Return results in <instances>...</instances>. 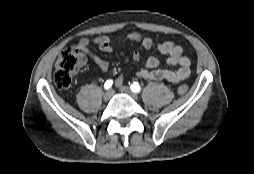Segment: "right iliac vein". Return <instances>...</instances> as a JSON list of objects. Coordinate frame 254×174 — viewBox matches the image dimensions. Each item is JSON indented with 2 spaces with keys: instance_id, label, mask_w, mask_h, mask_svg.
Segmentation results:
<instances>
[{
  "instance_id": "obj_1",
  "label": "right iliac vein",
  "mask_w": 254,
  "mask_h": 174,
  "mask_svg": "<svg viewBox=\"0 0 254 174\" xmlns=\"http://www.w3.org/2000/svg\"><path fill=\"white\" fill-rule=\"evenodd\" d=\"M113 96V91L112 90H108L105 94H104V100L108 101L112 98Z\"/></svg>"
}]
</instances>
